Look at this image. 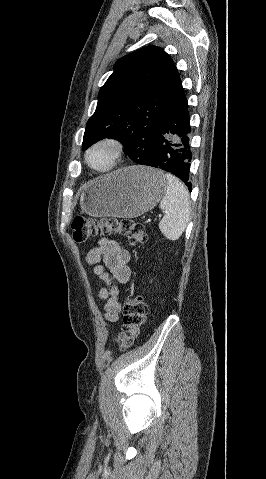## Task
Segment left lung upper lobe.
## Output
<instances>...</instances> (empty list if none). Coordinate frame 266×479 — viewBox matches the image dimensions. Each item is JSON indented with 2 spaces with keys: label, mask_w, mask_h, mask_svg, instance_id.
<instances>
[{
  "label": "left lung upper lobe",
  "mask_w": 266,
  "mask_h": 479,
  "mask_svg": "<svg viewBox=\"0 0 266 479\" xmlns=\"http://www.w3.org/2000/svg\"><path fill=\"white\" fill-rule=\"evenodd\" d=\"M181 87L175 63L160 47L146 46L122 57L99 91L83 149L113 138L136 163L150 161L160 122Z\"/></svg>",
  "instance_id": "left-lung-upper-lobe-1"
}]
</instances>
